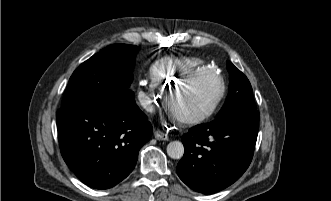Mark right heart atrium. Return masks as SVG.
<instances>
[{
	"instance_id": "obj_1",
	"label": "right heart atrium",
	"mask_w": 331,
	"mask_h": 201,
	"mask_svg": "<svg viewBox=\"0 0 331 201\" xmlns=\"http://www.w3.org/2000/svg\"><path fill=\"white\" fill-rule=\"evenodd\" d=\"M160 92L154 81L146 80L141 83L138 91V100L143 108L146 110H152L156 107Z\"/></svg>"
}]
</instances>
